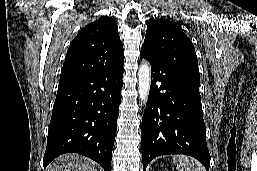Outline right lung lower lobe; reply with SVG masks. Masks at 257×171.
<instances>
[{"mask_svg":"<svg viewBox=\"0 0 257 171\" xmlns=\"http://www.w3.org/2000/svg\"><path fill=\"white\" fill-rule=\"evenodd\" d=\"M123 62L80 76L61 77L47 137L44 167L63 153H79L111 171Z\"/></svg>","mask_w":257,"mask_h":171,"instance_id":"98d812e1","label":"right lung lower lobe"}]
</instances>
